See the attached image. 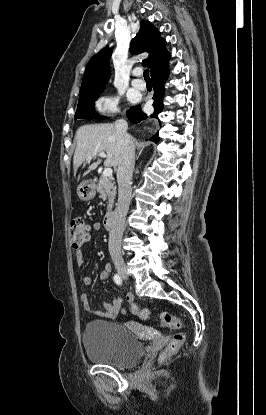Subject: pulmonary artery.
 <instances>
[{"label":"pulmonary artery","instance_id":"e3ab8cb5","mask_svg":"<svg viewBox=\"0 0 266 415\" xmlns=\"http://www.w3.org/2000/svg\"><path fill=\"white\" fill-rule=\"evenodd\" d=\"M140 74H141V71H139V70L134 71L135 76H139ZM132 85H133V87H135L136 89H139V90H144L145 87H146L145 82L141 79H134L132 81Z\"/></svg>","mask_w":266,"mask_h":415}]
</instances>
